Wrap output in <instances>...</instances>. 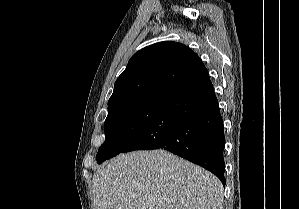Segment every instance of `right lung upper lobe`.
I'll return each mask as SVG.
<instances>
[{
  "label": "right lung upper lobe",
  "mask_w": 299,
  "mask_h": 209,
  "mask_svg": "<svg viewBox=\"0 0 299 209\" xmlns=\"http://www.w3.org/2000/svg\"><path fill=\"white\" fill-rule=\"evenodd\" d=\"M186 45L165 41L135 53L117 78L108 109L144 101L164 102L192 78L206 72Z\"/></svg>",
  "instance_id": "1"
}]
</instances>
